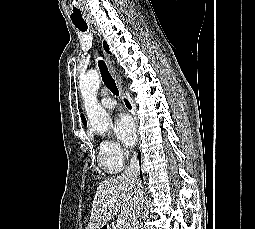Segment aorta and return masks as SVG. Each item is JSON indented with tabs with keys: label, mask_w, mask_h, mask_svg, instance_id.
<instances>
[{
	"label": "aorta",
	"mask_w": 255,
	"mask_h": 229,
	"mask_svg": "<svg viewBox=\"0 0 255 229\" xmlns=\"http://www.w3.org/2000/svg\"><path fill=\"white\" fill-rule=\"evenodd\" d=\"M99 85L100 76L94 69L88 71L80 79V91L90 124L97 133L104 134L111 123V119L97 101L96 93Z\"/></svg>",
	"instance_id": "obj_1"
}]
</instances>
